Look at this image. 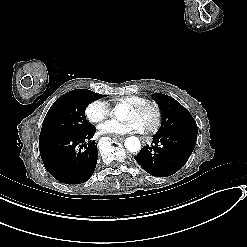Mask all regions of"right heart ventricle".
Returning <instances> with one entry per match:
<instances>
[{
  "label": "right heart ventricle",
  "instance_id": "1",
  "mask_svg": "<svg viewBox=\"0 0 247 247\" xmlns=\"http://www.w3.org/2000/svg\"><path fill=\"white\" fill-rule=\"evenodd\" d=\"M144 98L140 96H123L115 100L118 105H127L137 104L142 101Z\"/></svg>",
  "mask_w": 247,
  "mask_h": 247
}]
</instances>
